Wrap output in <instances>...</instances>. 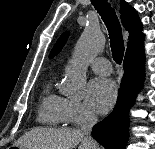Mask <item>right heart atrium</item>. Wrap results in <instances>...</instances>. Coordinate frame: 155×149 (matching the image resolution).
Segmentation results:
<instances>
[{
    "instance_id": "1",
    "label": "right heart atrium",
    "mask_w": 155,
    "mask_h": 149,
    "mask_svg": "<svg viewBox=\"0 0 155 149\" xmlns=\"http://www.w3.org/2000/svg\"><path fill=\"white\" fill-rule=\"evenodd\" d=\"M65 122L75 126H84L96 121L94 113L82 102L65 99Z\"/></svg>"
}]
</instances>
